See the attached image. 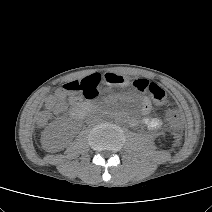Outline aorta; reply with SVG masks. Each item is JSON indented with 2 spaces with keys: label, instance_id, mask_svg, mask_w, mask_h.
<instances>
[{
  "label": "aorta",
  "instance_id": "762f6f07",
  "mask_svg": "<svg viewBox=\"0 0 212 212\" xmlns=\"http://www.w3.org/2000/svg\"><path fill=\"white\" fill-rule=\"evenodd\" d=\"M116 120H117V121H120V117H118Z\"/></svg>",
  "mask_w": 212,
  "mask_h": 212
}]
</instances>
